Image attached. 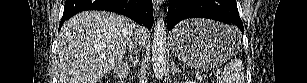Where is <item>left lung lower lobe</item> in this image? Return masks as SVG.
Instances as JSON below:
<instances>
[{
	"label": "left lung lower lobe",
	"instance_id": "0a47b994",
	"mask_svg": "<svg viewBox=\"0 0 307 83\" xmlns=\"http://www.w3.org/2000/svg\"><path fill=\"white\" fill-rule=\"evenodd\" d=\"M187 18H208L235 24L244 32L236 0H170L167 14L168 31Z\"/></svg>",
	"mask_w": 307,
	"mask_h": 83
}]
</instances>
